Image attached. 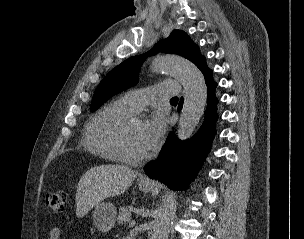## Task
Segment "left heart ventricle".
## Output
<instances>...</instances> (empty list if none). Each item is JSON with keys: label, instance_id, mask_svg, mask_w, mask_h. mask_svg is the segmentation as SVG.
I'll list each match as a JSON object with an SVG mask.
<instances>
[{"label": "left heart ventricle", "instance_id": "1", "mask_svg": "<svg viewBox=\"0 0 304 239\" xmlns=\"http://www.w3.org/2000/svg\"><path fill=\"white\" fill-rule=\"evenodd\" d=\"M144 122L138 119L133 120L127 130L124 147L125 151L133 156L146 154L148 151L143 141Z\"/></svg>", "mask_w": 304, "mask_h": 239}]
</instances>
